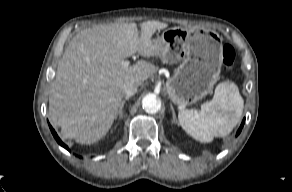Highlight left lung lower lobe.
Returning <instances> with one entry per match:
<instances>
[{"label":"left lung lower lobe","mask_w":292,"mask_h":192,"mask_svg":"<svg viewBox=\"0 0 292 192\" xmlns=\"http://www.w3.org/2000/svg\"><path fill=\"white\" fill-rule=\"evenodd\" d=\"M244 122H245V119L243 120V122H242V124H241V126H240V128H239V130H238V132H237V135L241 132L242 127H243V125H244Z\"/></svg>","instance_id":"1"}]
</instances>
